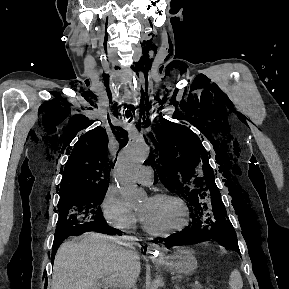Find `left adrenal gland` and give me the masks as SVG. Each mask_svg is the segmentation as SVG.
I'll return each mask as SVG.
<instances>
[{"mask_svg":"<svg viewBox=\"0 0 289 289\" xmlns=\"http://www.w3.org/2000/svg\"><path fill=\"white\" fill-rule=\"evenodd\" d=\"M174 289H181V288H180V285H179L178 283L175 284V285H174Z\"/></svg>","mask_w":289,"mask_h":289,"instance_id":"obj_1","label":"left adrenal gland"}]
</instances>
